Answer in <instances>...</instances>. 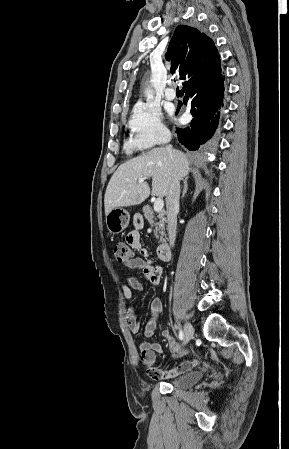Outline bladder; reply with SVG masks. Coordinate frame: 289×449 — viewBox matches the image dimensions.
Returning <instances> with one entry per match:
<instances>
[{
  "label": "bladder",
  "instance_id": "1",
  "mask_svg": "<svg viewBox=\"0 0 289 449\" xmlns=\"http://www.w3.org/2000/svg\"><path fill=\"white\" fill-rule=\"evenodd\" d=\"M204 376V372L200 370L191 371L170 381V384L179 389H188L198 383Z\"/></svg>",
  "mask_w": 289,
  "mask_h": 449
}]
</instances>
